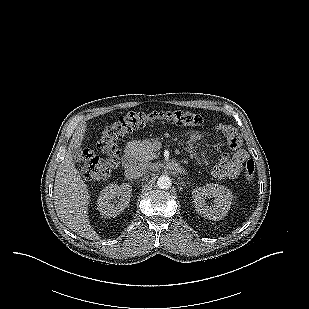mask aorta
<instances>
[{
	"instance_id": "762f6f07",
	"label": "aorta",
	"mask_w": 309,
	"mask_h": 309,
	"mask_svg": "<svg viewBox=\"0 0 309 309\" xmlns=\"http://www.w3.org/2000/svg\"><path fill=\"white\" fill-rule=\"evenodd\" d=\"M171 178L167 175H162L158 178V181H157V186L160 188V189H169L172 185L171 183Z\"/></svg>"
}]
</instances>
